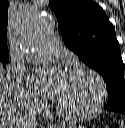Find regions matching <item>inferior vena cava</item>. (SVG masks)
Wrapping results in <instances>:
<instances>
[{
    "label": "inferior vena cava",
    "instance_id": "inferior-vena-cava-1",
    "mask_svg": "<svg viewBox=\"0 0 125 128\" xmlns=\"http://www.w3.org/2000/svg\"><path fill=\"white\" fill-rule=\"evenodd\" d=\"M23 121H25V120L23 119ZM35 124H36V119H35V117L29 116V120H28V125H29V127H30V126L33 127Z\"/></svg>",
    "mask_w": 125,
    "mask_h": 128
}]
</instances>
